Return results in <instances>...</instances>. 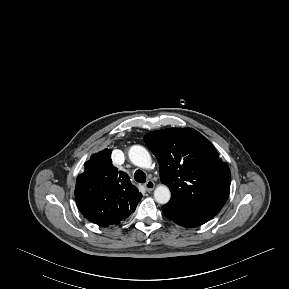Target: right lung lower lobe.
Returning a JSON list of instances; mask_svg holds the SVG:
<instances>
[{
  "label": "right lung lower lobe",
  "mask_w": 289,
  "mask_h": 289,
  "mask_svg": "<svg viewBox=\"0 0 289 289\" xmlns=\"http://www.w3.org/2000/svg\"><path fill=\"white\" fill-rule=\"evenodd\" d=\"M133 212H134V211L128 212V213H126L125 215L119 217L118 219H116V220H114V221H112V222L102 223V224H97V225H99V226H101V227H108L109 225H112V224H115V225L120 224V221H122V220H124L125 218H127V217H128L131 213H133Z\"/></svg>",
  "instance_id": "right-lung-lower-lobe-1"
}]
</instances>
